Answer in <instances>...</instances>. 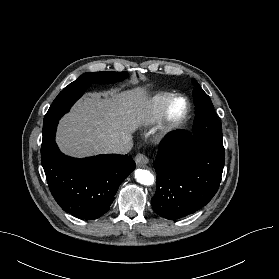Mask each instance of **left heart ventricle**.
<instances>
[{
  "label": "left heart ventricle",
  "mask_w": 279,
  "mask_h": 279,
  "mask_svg": "<svg viewBox=\"0 0 279 279\" xmlns=\"http://www.w3.org/2000/svg\"><path fill=\"white\" fill-rule=\"evenodd\" d=\"M185 108V104L182 100H177L173 103L171 110H170V116L172 118H177L179 117Z\"/></svg>",
  "instance_id": "1"
}]
</instances>
